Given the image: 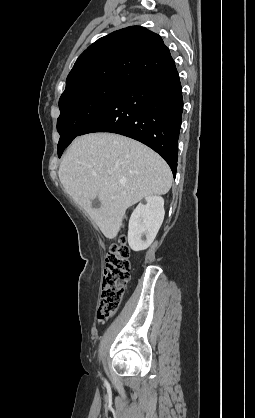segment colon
<instances>
[{"label":"colon","instance_id":"colon-1","mask_svg":"<svg viewBox=\"0 0 255 418\" xmlns=\"http://www.w3.org/2000/svg\"><path fill=\"white\" fill-rule=\"evenodd\" d=\"M129 280V250L124 240L120 239L111 245L106 255L101 294L97 307L98 319H108L116 313Z\"/></svg>","mask_w":255,"mask_h":418}]
</instances>
